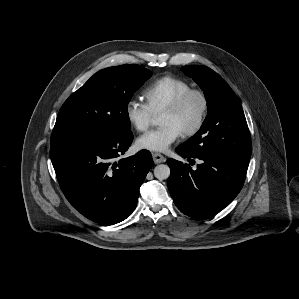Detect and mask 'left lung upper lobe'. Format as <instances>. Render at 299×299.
I'll use <instances>...</instances> for the list:
<instances>
[{"instance_id": "obj_1", "label": "left lung upper lobe", "mask_w": 299, "mask_h": 299, "mask_svg": "<svg viewBox=\"0 0 299 299\" xmlns=\"http://www.w3.org/2000/svg\"><path fill=\"white\" fill-rule=\"evenodd\" d=\"M182 71L204 91L208 114L200 130L180 147L193 156L249 160L250 132L242 106L229 85L206 66L187 65Z\"/></svg>"}]
</instances>
